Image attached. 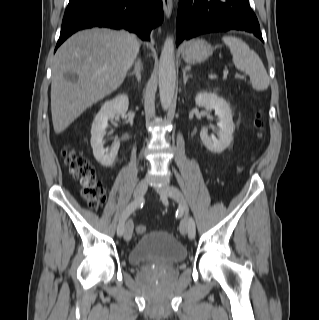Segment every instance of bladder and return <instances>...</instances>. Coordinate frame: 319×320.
Returning <instances> with one entry per match:
<instances>
[{"instance_id": "31cf9c89", "label": "bladder", "mask_w": 319, "mask_h": 320, "mask_svg": "<svg viewBox=\"0 0 319 320\" xmlns=\"http://www.w3.org/2000/svg\"><path fill=\"white\" fill-rule=\"evenodd\" d=\"M187 256V249L170 233L151 230L144 233L135 243L129 254L133 265H142L151 260L178 263Z\"/></svg>"}]
</instances>
